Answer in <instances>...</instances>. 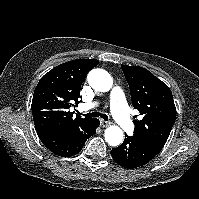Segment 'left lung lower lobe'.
Wrapping results in <instances>:
<instances>
[{
  "mask_svg": "<svg viewBox=\"0 0 199 199\" xmlns=\"http://www.w3.org/2000/svg\"><path fill=\"white\" fill-rule=\"evenodd\" d=\"M158 153L153 148L127 135H125L124 142L111 151L113 160L120 166L128 169L147 164Z\"/></svg>",
  "mask_w": 199,
  "mask_h": 199,
  "instance_id": "left-lung-lower-lobe-1",
  "label": "left lung lower lobe"
}]
</instances>
